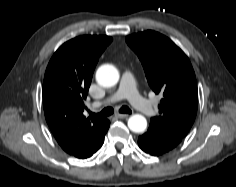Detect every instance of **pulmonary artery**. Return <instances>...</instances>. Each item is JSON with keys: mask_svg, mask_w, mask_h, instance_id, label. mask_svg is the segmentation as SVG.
I'll list each match as a JSON object with an SVG mask.
<instances>
[{"mask_svg": "<svg viewBox=\"0 0 236 187\" xmlns=\"http://www.w3.org/2000/svg\"><path fill=\"white\" fill-rule=\"evenodd\" d=\"M127 99L131 105L146 116H154L156 113L152 103L144 99L136 88L135 76L132 71L126 70L123 73L121 84L118 90L106 100L99 102L96 106L109 105L121 99Z\"/></svg>", "mask_w": 236, "mask_h": 187, "instance_id": "e3ab8cb5", "label": "pulmonary artery"}]
</instances>
